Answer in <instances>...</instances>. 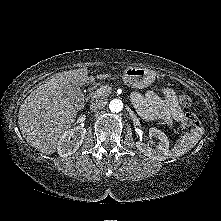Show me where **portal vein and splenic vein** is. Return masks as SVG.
<instances>
[{"label":"portal vein and splenic vein","mask_w":221,"mask_h":221,"mask_svg":"<svg viewBox=\"0 0 221 221\" xmlns=\"http://www.w3.org/2000/svg\"><path fill=\"white\" fill-rule=\"evenodd\" d=\"M107 92V88L106 87H102L100 89L97 90V94L101 95Z\"/></svg>","instance_id":"1"}]
</instances>
